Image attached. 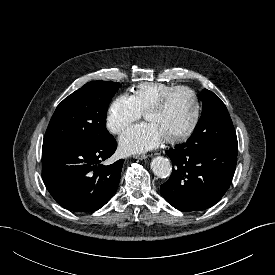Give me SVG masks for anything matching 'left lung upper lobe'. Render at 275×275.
Segmentation results:
<instances>
[{
	"instance_id": "obj_1",
	"label": "left lung upper lobe",
	"mask_w": 275,
	"mask_h": 275,
	"mask_svg": "<svg viewBox=\"0 0 275 275\" xmlns=\"http://www.w3.org/2000/svg\"><path fill=\"white\" fill-rule=\"evenodd\" d=\"M202 115L184 147L238 148L236 132L224 103L211 91L203 92Z\"/></svg>"
}]
</instances>
